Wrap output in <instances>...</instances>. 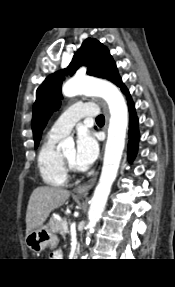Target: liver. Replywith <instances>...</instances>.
<instances>
[{
	"mask_svg": "<svg viewBox=\"0 0 175 287\" xmlns=\"http://www.w3.org/2000/svg\"><path fill=\"white\" fill-rule=\"evenodd\" d=\"M70 192L59 187L40 186L33 190L26 211V234L42 226L51 211L69 198Z\"/></svg>",
	"mask_w": 175,
	"mask_h": 287,
	"instance_id": "obj_1",
	"label": "liver"
}]
</instances>
